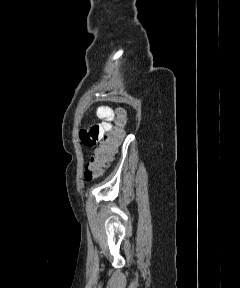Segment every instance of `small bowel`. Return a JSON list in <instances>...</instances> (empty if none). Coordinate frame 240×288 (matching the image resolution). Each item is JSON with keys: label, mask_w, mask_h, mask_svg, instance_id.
Segmentation results:
<instances>
[{"label": "small bowel", "mask_w": 240, "mask_h": 288, "mask_svg": "<svg viewBox=\"0 0 240 288\" xmlns=\"http://www.w3.org/2000/svg\"><path fill=\"white\" fill-rule=\"evenodd\" d=\"M96 116L99 122L88 129L81 130L79 133L80 140L85 146L96 145L103 135L113 128L111 122L114 119V111L110 107H98Z\"/></svg>", "instance_id": "small-bowel-1"}]
</instances>
